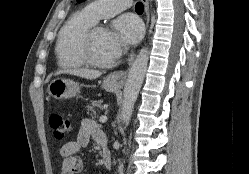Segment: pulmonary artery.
I'll return each instance as SVG.
<instances>
[{
  "label": "pulmonary artery",
  "mask_w": 249,
  "mask_h": 174,
  "mask_svg": "<svg viewBox=\"0 0 249 174\" xmlns=\"http://www.w3.org/2000/svg\"><path fill=\"white\" fill-rule=\"evenodd\" d=\"M131 0H96L89 3L84 11L93 20L110 17L130 7Z\"/></svg>",
  "instance_id": "pulmonary-artery-1"
}]
</instances>
